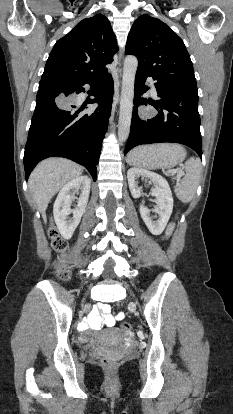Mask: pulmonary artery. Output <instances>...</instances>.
<instances>
[{"instance_id": "obj_1", "label": "pulmonary artery", "mask_w": 233, "mask_h": 414, "mask_svg": "<svg viewBox=\"0 0 233 414\" xmlns=\"http://www.w3.org/2000/svg\"><path fill=\"white\" fill-rule=\"evenodd\" d=\"M152 93H153V95H156V88H155L153 83H152Z\"/></svg>"}]
</instances>
